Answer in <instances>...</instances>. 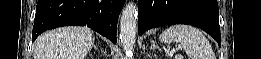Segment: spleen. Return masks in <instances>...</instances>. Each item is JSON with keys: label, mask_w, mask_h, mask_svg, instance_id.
<instances>
[{"label": "spleen", "mask_w": 261, "mask_h": 59, "mask_svg": "<svg viewBox=\"0 0 261 59\" xmlns=\"http://www.w3.org/2000/svg\"><path fill=\"white\" fill-rule=\"evenodd\" d=\"M159 39L162 43H179L190 59H216L208 39L193 26H170L162 32Z\"/></svg>", "instance_id": "spleen-1"}]
</instances>
